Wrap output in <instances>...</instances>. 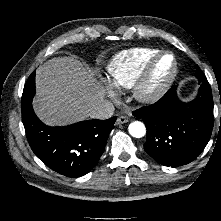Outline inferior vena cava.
<instances>
[{
	"mask_svg": "<svg viewBox=\"0 0 221 221\" xmlns=\"http://www.w3.org/2000/svg\"><path fill=\"white\" fill-rule=\"evenodd\" d=\"M114 110V105L111 102L103 101L92 110L90 117L94 119H108L113 116Z\"/></svg>",
	"mask_w": 221,
	"mask_h": 221,
	"instance_id": "inferior-vena-cava-1",
	"label": "inferior vena cava"
}]
</instances>
